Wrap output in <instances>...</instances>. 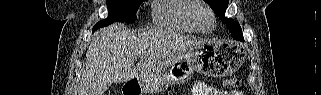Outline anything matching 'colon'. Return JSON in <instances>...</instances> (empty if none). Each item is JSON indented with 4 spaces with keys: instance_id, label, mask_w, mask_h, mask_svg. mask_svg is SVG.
<instances>
[{
    "instance_id": "1",
    "label": "colon",
    "mask_w": 321,
    "mask_h": 95,
    "mask_svg": "<svg viewBox=\"0 0 321 95\" xmlns=\"http://www.w3.org/2000/svg\"><path fill=\"white\" fill-rule=\"evenodd\" d=\"M225 84L229 87H238L240 85V80L236 77L228 78Z\"/></svg>"
}]
</instances>
